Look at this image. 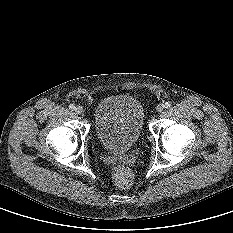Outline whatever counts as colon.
I'll list each match as a JSON object with an SVG mask.
<instances>
[{
  "instance_id": "obj_1",
  "label": "colon",
  "mask_w": 233,
  "mask_h": 233,
  "mask_svg": "<svg viewBox=\"0 0 233 233\" xmlns=\"http://www.w3.org/2000/svg\"><path fill=\"white\" fill-rule=\"evenodd\" d=\"M113 179L116 185L125 188L132 183V172L124 165H119L113 172Z\"/></svg>"
}]
</instances>
